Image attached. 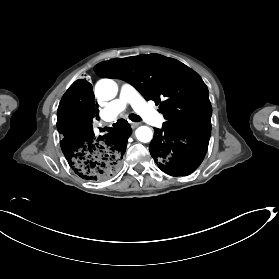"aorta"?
Masks as SVG:
<instances>
[{
  "label": "aorta",
  "instance_id": "obj_1",
  "mask_svg": "<svg viewBox=\"0 0 279 279\" xmlns=\"http://www.w3.org/2000/svg\"><path fill=\"white\" fill-rule=\"evenodd\" d=\"M118 86L116 82L105 78L97 82L95 86V95L100 100L108 101L117 95ZM135 135L140 142H150L153 136L152 130L147 126H140L136 129Z\"/></svg>",
  "mask_w": 279,
  "mask_h": 279
}]
</instances>
